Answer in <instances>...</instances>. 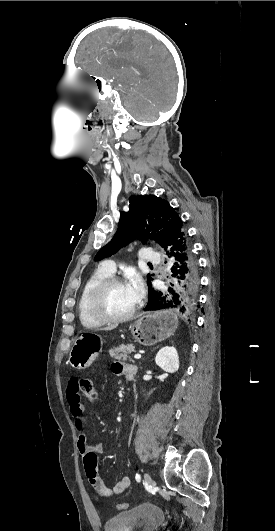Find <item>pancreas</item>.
<instances>
[{"label": "pancreas", "instance_id": "obj_1", "mask_svg": "<svg viewBox=\"0 0 275 531\" xmlns=\"http://www.w3.org/2000/svg\"><path fill=\"white\" fill-rule=\"evenodd\" d=\"M130 353H135L133 345H119V347H113L109 351L110 357L117 359V361H132L131 357H128Z\"/></svg>", "mask_w": 275, "mask_h": 531}]
</instances>
